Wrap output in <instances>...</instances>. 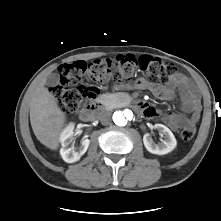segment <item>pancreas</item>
Segmentation results:
<instances>
[{
  "mask_svg": "<svg viewBox=\"0 0 221 221\" xmlns=\"http://www.w3.org/2000/svg\"><path fill=\"white\" fill-rule=\"evenodd\" d=\"M101 103L108 108H116L121 105V98L118 94L107 93L101 96Z\"/></svg>",
  "mask_w": 221,
  "mask_h": 221,
  "instance_id": "obj_1",
  "label": "pancreas"
}]
</instances>
